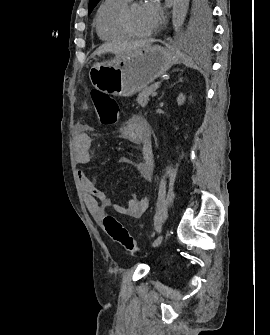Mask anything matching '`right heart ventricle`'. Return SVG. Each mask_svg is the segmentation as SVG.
<instances>
[{"label":"right heart ventricle","mask_w":270,"mask_h":335,"mask_svg":"<svg viewBox=\"0 0 270 335\" xmlns=\"http://www.w3.org/2000/svg\"><path fill=\"white\" fill-rule=\"evenodd\" d=\"M129 3L122 0H104L99 6L95 19V32L97 36L108 42H115L129 38L119 26V14ZM151 78V77H129Z\"/></svg>","instance_id":"obj_1"}]
</instances>
